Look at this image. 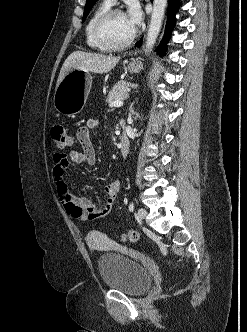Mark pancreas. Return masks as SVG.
Listing matches in <instances>:
<instances>
[{"label":"pancreas","instance_id":"cf45deb5","mask_svg":"<svg viewBox=\"0 0 247 332\" xmlns=\"http://www.w3.org/2000/svg\"><path fill=\"white\" fill-rule=\"evenodd\" d=\"M134 86L125 81H120L113 86L112 90L108 92L106 102L110 105L113 101L123 100L128 97V89Z\"/></svg>","mask_w":247,"mask_h":332}]
</instances>
